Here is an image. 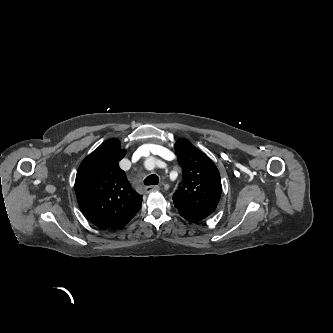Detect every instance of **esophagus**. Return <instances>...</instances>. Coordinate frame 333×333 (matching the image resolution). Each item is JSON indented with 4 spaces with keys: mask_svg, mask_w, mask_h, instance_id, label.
I'll list each match as a JSON object with an SVG mask.
<instances>
[{
    "mask_svg": "<svg viewBox=\"0 0 333 333\" xmlns=\"http://www.w3.org/2000/svg\"><path fill=\"white\" fill-rule=\"evenodd\" d=\"M145 190H146L147 193H150L152 191H158V190H160V186H158V185L147 186Z\"/></svg>",
    "mask_w": 333,
    "mask_h": 333,
    "instance_id": "1",
    "label": "esophagus"
}]
</instances>
